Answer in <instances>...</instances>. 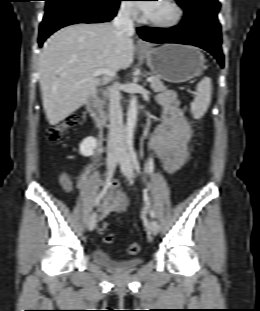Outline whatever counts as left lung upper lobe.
Returning a JSON list of instances; mask_svg holds the SVG:
<instances>
[{
    "instance_id": "1",
    "label": "left lung upper lobe",
    "mask_w": 260,
    "mask_h": 311,
    "mask_svg": "<svg viewBox=\"0 0 260 311\" xmlns=\"http://www.w3.org/2000/svg\"><path fill=\"white\" fill-rule=\"evenodd\" d=\"M185 10L187 21H206L215 26H220L217 14L220 8L218 0H176Z\"/></svg>"
}]
</instances>
